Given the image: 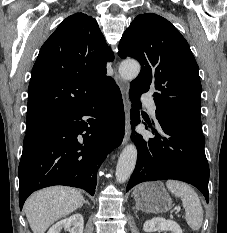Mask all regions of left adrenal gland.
Instances as JSON below:
<instances>
[{"instance_id":"obj_1","label":"left adrenal gland","mask_w":227,"mask_h":233,"mask_svg":"<svg viewBox=\"0 0 227 233\" xmlns=\"http://www.w3.org/2000/svg\"><path fill=\"white\" fill-rule=\"evenodd\" d=\"M134 209L137 210V211L139 210L138 206L134 207Z\"/></svg>"}]
</instances>
